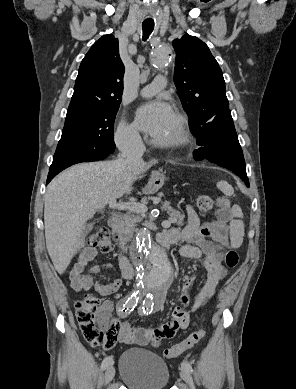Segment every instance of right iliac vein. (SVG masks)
<instances>
[{
    "instance_id": "right-iliac-vein-1",
    "label": "right iliac vein",
    "mask_w": 296,
    "mask_h": 389,
    "mask_svg": "<svg viewBox=\"0 0 296 389\" xmlns=\"http://www.w3.org/2000/svg\"><path fill=\"white\" fill-rule=\"evenodd\" d=\"M114 375H115V369H114L113 365L110 364L107 367L106 372H105V377H104L105 383L106 384L109 383L113 379Z\"/></svg>"
}]
</instances>
